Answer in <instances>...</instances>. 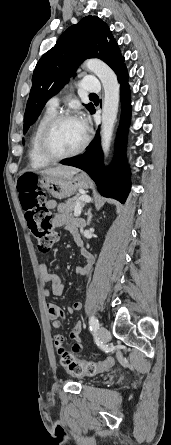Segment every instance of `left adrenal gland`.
I'll return each mask as SVG.
<instances>
[{
    "instance_id": "a2214340",
    "label": "left adrenal gland",
    "mask_w": 171,
    "mask_h": 445,
    "mask_svg": "<svg viewBox=\"0 0 171 445\" xmlns=\"http://www.w3.org/2000/svg\"><path fill=\"white\" fill-rule=\"evenodd\" d=\"M85 214L87 215V225H90L91 219L93 217L91 209H88V211Z\"/></svg>"
}]
</instances>
